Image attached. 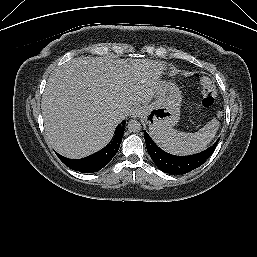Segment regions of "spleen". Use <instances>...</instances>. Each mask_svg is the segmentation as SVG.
<instances>
[{"label": "spleen", "mask_w": 257, "mask_h": 257, "mask_svg": "<svg viewBox=\"0 0 257 257\" xmlns=\"http://www.w3.org/2000/svg\"><path fill=\"white\" fill-rule=\"evenodd\" d=\"M218 117L222 112H218ZM219 129V121L213 118L195 133H185L173 128H159L150 131L154 141L163 150L175 155H190L203 151L215 137Z\"/></svg>", "instance_id": "obj_1"}]
</instances>
